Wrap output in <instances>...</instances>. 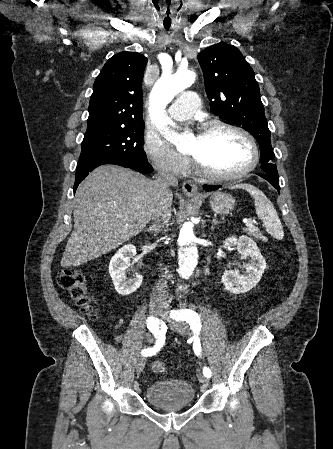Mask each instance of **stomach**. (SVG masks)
<instances>
[{
	"label": "stomach",
	"mask_w": 333,
	"mask_h": 449,
	"mask_svg": "<svg viewBox=\"0 0 333 449\" xmlns=\"http://www.w3.org/2000/svg\"><path fill=\"white\" fill-rule=\"evenodd\" d=\"M234 205V198L227 193L216 192L210 197L211 209L217 214H228Z\"/></svg>",
	"instance_id": "obj_1"
}]
</instances>
